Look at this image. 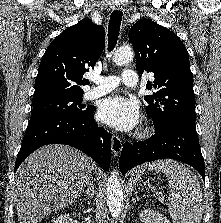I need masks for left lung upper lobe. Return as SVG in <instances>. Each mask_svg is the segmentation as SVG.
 Listing matches in <instances>:
<instances>
[{"mask_svg": "<svg viewBox=\"0 0 221 223\" xmlns=\"http://www.w3.org/2000/svg\"><path fill=\"white\" fill-rule=\"evenodd\" d=\"M129 41L135 51L137 71L154 74V81L147 83L153 95L144 99L155 130L162 131L176 120L195 122L189 56L179 37L156 22L141 19L130 29Z\"/></svg>", "mask_w": 221, "mask_h": 223, "instance_id": "obj_1", "label": "left lung upper lobe"}]
</instances>
